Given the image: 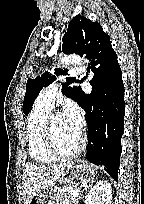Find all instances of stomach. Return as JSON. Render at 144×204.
<instances>
[{"label":"stomach","instance_id":"1","mask_svg":"<svg viewBox=\"0 0 144 204\" xmlns=\"http://www.w3.org/2000/svg\"><path fill=\"white\" fill-rule=\"evenodd\" d=\"M95 176L94 167L83 161L73 162L65 168L64 173L56 182L40 187L29 204H49L54 201V195L58 189L63 187H73L80 189L82 183L93 181Z\"/></svg>","mask_w":144,"mask_h":204}]
</instances>
